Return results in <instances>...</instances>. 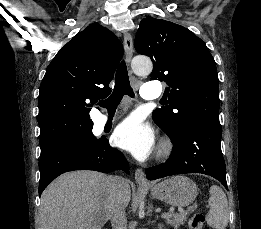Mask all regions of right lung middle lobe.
<instances>
[{"label":"right lung middle lobe","mask_w":261,"mask_h":229,"mask_svg":"<svg viewBox=\"0 0 261 229\" xmlns=\"http://www.w3.org/2000/svg\"><path fill=\"white\" fill-rule=\"evenodd\" d=\"M103 139H97L96 137L93 136L92 131H89L87 133H84L72 140H70L69 142L63 144V145H95L98 142H100ZM61 145V146H63ZM60 147V146H58ZM58 147H54V148H41V155H45L48 154L49 152L55 150Z\"/></svg>","instance_id":"dd1d6c3e"}]
</instances>
